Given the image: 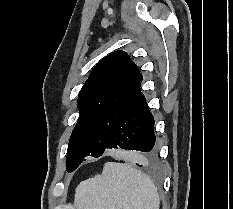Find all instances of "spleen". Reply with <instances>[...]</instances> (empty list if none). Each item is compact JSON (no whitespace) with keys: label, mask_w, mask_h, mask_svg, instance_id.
<instances>
[{"label":"spleen","mask_w":233,"mask_h":209,"mask_svg":"<svg viewBox=\"0 0 233 209\" xmlns=\"http://www.w3.org/2000/svg\"><path fill=\"white\" fill-rule=\"evenodd\" d=\"M77 209H159L151 179L129 164L107 162L101 174L82 181L75 190Z\"/></svg>","instance_id":"3e777b00"}]
</instances>
